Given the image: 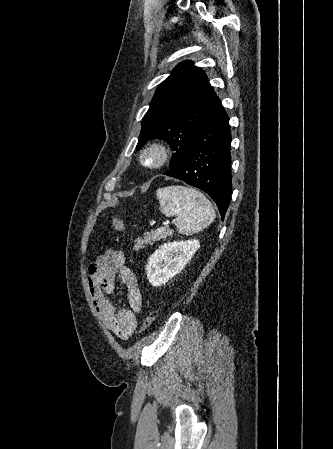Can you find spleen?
Returning <instances> with one entry per match:
<instances>
[{
    "mask_svg": "<svg viewBox=\"0 0 333 449\" xmlns=\"http://www.w3.org/2000/svg\"><path fill=\"white\" fill-rule=\"evenodd\" d=\"M159 210L166 216H177L176 228L181 234L198 233L215 219V210L199 190L185 186L159 188L156 193Z\"/></svg>",
    "mask_w": 333,
    "mask_h": 449,
    "instance_id": "spleen-1",
    "label": "spleen"
}]
</instances>
